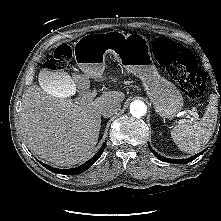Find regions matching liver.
<instances>
[{"label": "liver", "instance_id": "1", "mask_svg": "<svg viewBox=\"0 0 221 221\" xmlns=\"http://www.w3.org/2000/svg\"><path fill=\"white\" fill-rule=\"evenodd\" d=\"M52 74L41 70L40 87L32 85L24 93L20 123L28 147L36 155L57 166L69 167L92 154L99 137L103 106L121 103L125 95L109 91L92 97L89 73L73 77L63 73L67 81L65 94H52ZM102 75L93 78L99 79ZM77 93L78 97L73 99L71 95Z\"/></svg>", "mask_w": 221, "mask_h": 221}]
</instances>
